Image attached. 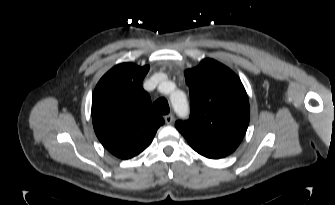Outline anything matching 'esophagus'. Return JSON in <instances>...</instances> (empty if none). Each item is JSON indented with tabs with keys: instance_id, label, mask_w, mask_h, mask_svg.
Listing matches in <instances>:
<instances>
[{
	"instance_id": "34e87169",
	"label": "esophagus",
	"mask_w": 335,
	"mask_h": 205,
	"mask_svg": "<svg viewBox=\"0 0 335 205\" xmlns=\"http://www.w3.org/2000/svg\"><path fill=\"white\" fill-rule=\"evenodd\" d=\"M164 119H165V122H166L167 124H171V123L173 122V120H174V116H173L172 113H170V114L166 115V116L164 117Z\"/></svg>"
}]
</instances>
